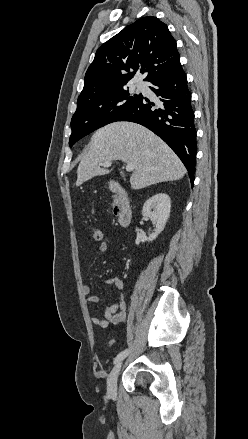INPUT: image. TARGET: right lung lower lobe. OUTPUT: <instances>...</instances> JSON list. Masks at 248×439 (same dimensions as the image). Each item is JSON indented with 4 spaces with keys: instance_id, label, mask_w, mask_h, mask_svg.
Here are the masks:
<instances>
[{
    "instance_id": "1",
    "label": "right lung lower lobe",
    "mask_w": 248,
    "mask_h": 439,
    "mask_svg": "<svg viewBox=\"0 0 248 439\" xmlns=\"http://www.w3.org/2000/svg\"><path fill=\"white\" fill-rule=\"evenodd\" d=\"M150 82L153 85L150 89L159 96V101L153 103L142 97L119 121L141 124L161 137L181 159L193 183L196 129L186 74L180 65Z\"/></svg>"
}]
</instances>
